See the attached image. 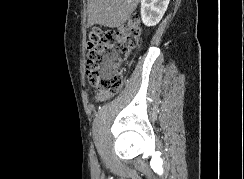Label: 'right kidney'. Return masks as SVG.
Here are the masks:
<instances>
[{"mask_svg": "<svg viewBox=\"0 0 244 179\" xmlns=\"http://www.w3.org/2000/svg\"><path fill=\"white\" fill-rule=\"evenodd\" d=\"M170 0H141V18L145 26H156L164 16Z\"/></svg>", "mask_w": 244, "mask_h": 179, "instance_id": "1", "label": "right kidney"}]
</instances>
